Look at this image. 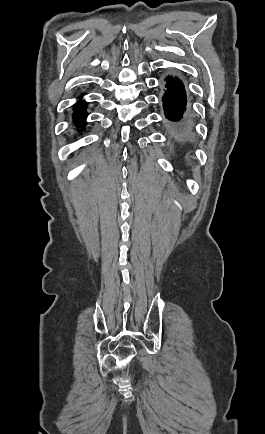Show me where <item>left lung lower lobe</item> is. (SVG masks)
I'll return each mask as SVG.
<instances>
[{
	"instance_id": "left-lung-lower-lobe-1",
	"label": "left lung lower lobe",
	"mask_w": 265,
	"mask_h": 434,
	"mask_svg": "<svg viewBox=\"0 0 265 434\" xmlns=\"http://www.w3.org/2000/svg\"><path fill=\"white\" fill-rule=\"evenodd\" d=\"M162 97L165 116V134L168 144L180 151L193 146L196 135L192 115L187 106L184 84L178 77L167 76Z\"/></svg>"
}]
</instances>
